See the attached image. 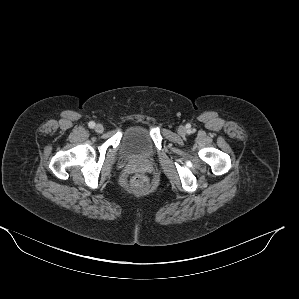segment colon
I'll return each instance as SVG.
<instances>
[{"label":"colon","mask_w":299,"mask_h":299,"mask_svg":"<svg viewBox=\"0 0 299 299\" xmlns=\"http://www.w3.org/2000/svg\"><path fill=\"white\" fill-rule=\"evenodd\" d=\"M131 183L134 188L141 190L147 187L148 179L143 174H137L136 176L133 177Z\"/></svg>","instance_id":"1"}]
</instances>
